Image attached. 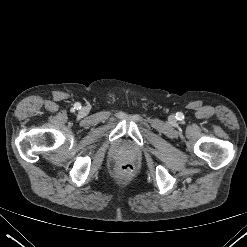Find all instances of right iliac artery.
<instances>
[{
    "mask_svg": "<svg viewBox=\"0 0 247 247\" xmlns=\"http://www.w3.org/2000/svg\"><path fill=\"white\" fill-rule=\"evenodd\" d=\"M74 108H75V109H80V108H81L80 103H76V104L74 105Z\"/></svg>",
    "mask_w": 247,
    "mask_h": 247,
    "instance_id": "82829eb1",
    "label": "right iliac artery"
}]
</instances>
